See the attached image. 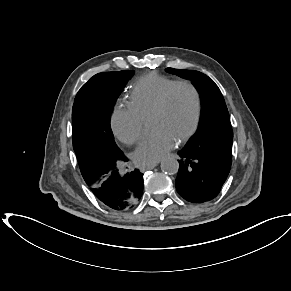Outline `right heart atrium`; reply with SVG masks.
<instances>
[{
	"mask_svg": "<svg viewBox=\"0 0 291 291\" xmlns=\"http://www.w3.org/2000/svg\"><path fill=\"white\" fill-rule=\"evenodd\" d=\"M110 124L116 138L124 144L136 143L143 134V120L128 106H116Z\"/></svg>",
	"mask_w": 291,
	"mask_h": 291,
	"instance_id": "obj_1",
	"label": "right heart atrium"
}]
</instances>
